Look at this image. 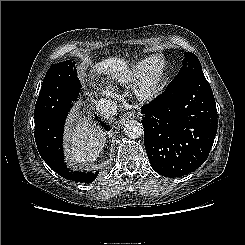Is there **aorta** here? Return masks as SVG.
<instances>
[{
    "mask_svg": "<svg viewBox=\"0 0 245 245\" xmlns=\"http://www.w3.org/2000/svg\"><path fill=\"white\" fill-rule=\"evenodd\" d=\"M124 132L131 139L139 138L144 132L143 125L137 120H129L125 124Z\"/></svg>",
    "mask_w": 245,
    "mask_h": 245,
    "instance_id": "aorta-1",
    "label": "aorta"
}]
</instances>
